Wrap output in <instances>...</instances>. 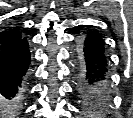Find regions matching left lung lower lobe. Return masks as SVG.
<instances>
[{"label":"left lung lower lobe","instance_id":"0a47b994","mask_svg":"<svg viewBox=\"0 0 133 118\" xmlns=\"http://www.w3.org/2000/svg\"><path fill=\"white\" fill-rule=\"evenodd\" d=\"M79 44L84 62L80 87L110 99L109 62L102 38L95 32H89L85 39H80Z\"/></svg>","mask_w":133,"mask_h":118}]
</instances>
